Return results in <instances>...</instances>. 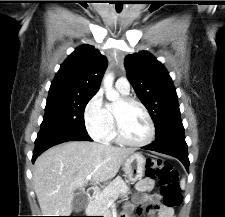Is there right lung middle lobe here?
<instances>
[{"mask_svg":"<svg viewBox=\"0 0 225 217\" xmlns=\"http://www.w3.org/2000/svg\"><path fill=\"white\" fill-rule=\"evenodd\" d=\"M93 96L49 93L41 129L54 128L87 134L84 110Z\"/></svg>","mask_w":225,"mask_h":217,"instance_id":"obj_1","label":"right lung middle lobe"}]
</instances>
